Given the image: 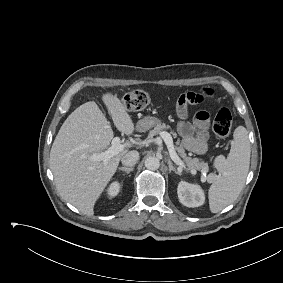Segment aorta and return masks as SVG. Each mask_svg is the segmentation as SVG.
I'll return each mask as SVG.
<instances>
[{
	"instance_id": "obj_1",
	"label": "aorta",
	"mask_w": 283,
	"mask_h": 283,
	"mask_svg": "<svg viewBox=\"0 0 283 283\" xmlns=\"http://www.w3.org/2000/svg\"><path fill=\"white\" fill-rule=\"evenodd\" d=\"M160 166V161L156 157H148L145 160V167L149 170H157Z\"/></svg>"
}]
</instances>
